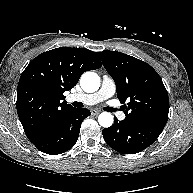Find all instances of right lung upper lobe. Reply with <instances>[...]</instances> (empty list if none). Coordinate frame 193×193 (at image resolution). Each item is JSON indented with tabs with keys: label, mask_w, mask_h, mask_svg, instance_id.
<instances>
[{
	"label": "right lung upper lobe",
	"mask_w": 193,
	"mask_h": 193,
	"mask_svg": "<svg viewBox=\"0 0 193 193\" xmlns=\"http://www.w3.org/2000/svg\"><path fill=\"white\" fill-rule=\"evenodd\" d=\"M102 64L86 48L60 47L34 58L21 74L17 88V112L25 134L32 140L74 107L64 100L80 76Z\"/></svg>",
	"instance_id": "right-lung-upper-lobe-1"
}]
</instances>
